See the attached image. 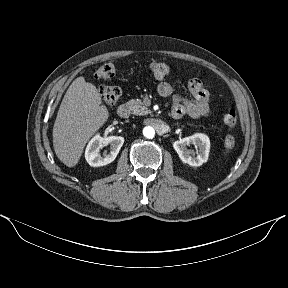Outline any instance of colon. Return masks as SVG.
Instances as JSON below:
<instances>
[{"instance_id": "5ec220e1", "label": "colon", "mask_w": 288, "mask_h": 288, "mask_svg": "<svg viewBox=\"0 0 288 288\" xmlns=\"http://www.w3.org/2000/svg\"><path fill=\"white\" fill-rule=\"evenodd\" d=\"M149 69L153 76L157 79H164L170 74V67L166 63L152 62ZM115 75V67L111 63L101 65L96 71L98 79L106 80ZM100 95L108 105H115L121 96V89L118 86L102 85L99 89ZM224 125L227 129L232 130L237 124V115L234 110L228 111L223 118ZM234 147V139L232 136H227L224 140V149L228 153Z\"/></svg>"}]
</instances>
